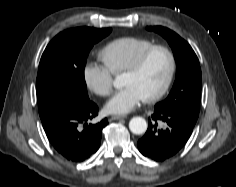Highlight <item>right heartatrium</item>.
I'll list each match as a JSON object with an SVG mask.
<instances>
[{
    "instance_id": "obj_1",
    "label": "right heart atrium",
    "mask_w": 236,
    "mask_h": 187,
    "mask_svg": "<svg viewBox=\"0 0 236 187\" xmlns=\"http://www.w3.org/2000/svg\"><path fill=\"white\" fill-rule=\"evenodd\" d=\"M83 80L88 89L99 96H107L112 91V73L104 65L87 63L83 68Z\"/></svg>"
}]
</instances>
